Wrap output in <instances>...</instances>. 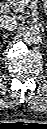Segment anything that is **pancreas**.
Segmentation results:
<instances>
[{
    "label": "pancreas",
    "mask_w": 47,
    "mask_h": 129,
    "mask_svg": "<svg viewBox=\"0 0 47 129\" xmlns=\"http://www.w3.org/2000/svg\"><path fill=\"white\" fill-rule=\"evenodd\" d=\"M17 11L23 12L25 8L27 7V0H10Z\"/></svg>",
    "instance_id": "pancreas-1"
}]
</instances>
